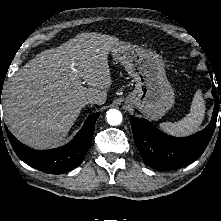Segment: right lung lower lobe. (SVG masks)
Segmentation results:
<instances>
[{"instance_id":"98d812e1","label":"right lung lower lobe","mask_w":221,"mask_h":221,"mask_svg":"<svg viewBox=\"0 0 221 221\" xmlns=\"http://www.w3.org/2000/svg\"><path fill=\"white\" fill-rule=\"evenodd\" d=\"M1 102V98H0ZM100 113L87 118L82 129L67 145L45 151L32 150L19 142L5 126L9 141L18 157L40 171L50 174H61L77 167L91 146L95 122ZM0 129L2 132L1 118Z\"/></svg>"}]
</instances>
